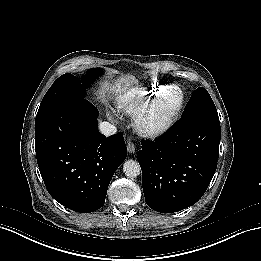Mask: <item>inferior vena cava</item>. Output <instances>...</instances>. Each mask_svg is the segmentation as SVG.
Returning <instances> with one entry per match:
<instances>
[{
  "mask_svg": "<svg viewBox=\"0 0 261 261\" xmlns=\"http://www.w3.org/2000/svg\"><path fill=\"white\" fill-rule=\"evenodd\" d=\"M99 131L104 136L108 137L114 135L117 132V129L114 125L110 124L109 122H101L99 125Z\"/></svg>",
  "mask_w": 261,
  "mask_h": 261,
  "instance_id": "obj_1",
  "label": "inferior vena cava"
}]
</instances>
